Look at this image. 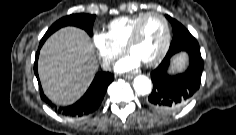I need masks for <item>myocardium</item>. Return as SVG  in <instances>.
<instances>
[{
    "label": "myocardium",
    "mask_w": 236,
    "mask_h": 135,
    "mask_svg": "<svg viewBox=\"0 0 236 135\" xmlns=\"http://www.w3.org/2000/svg\"><path fill=\"white\" fill-rule=\"evenodd\" d=\"M150 16L159 17L162 20V22L164 24V28H165V39H164V43H163V46H162L160 52L153 59L143 62L147 66H154V65H157L158 63H160L162 61V59L165 57V55L169 49L170 41H171L170 26H169L167 19L162 14H160L158 12L145 13L142 16V18L134 26V28L127 40V43L125 45V51L130 53L132 47L137 43V41L139 39L143 22Z\"/></svg>",
    "instance_id": "obj_1"
}]
</instances>
